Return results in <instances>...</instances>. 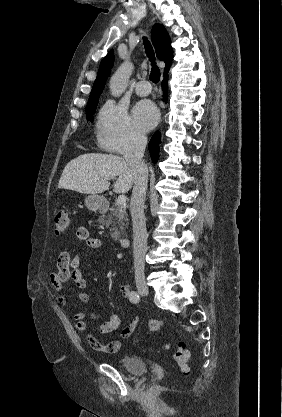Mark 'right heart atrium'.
<instances>
[{"instance_id": "d8ad5b80", "label": "right heart atrium", "mask_w": 282, "mask_h": 417, "mask_svg": "<svg viewBox=\"0 0 282 417\" xmlns=\"http://www.w3.org/2000/svg\"><path fill=\"white\" fill-rule=\"evenodd\" d=\"M97 137L104 149L123 155L138 149L144 142V134L136 127L127 109L112 101L103 108Z\"/></svg>"}]
</instances>
